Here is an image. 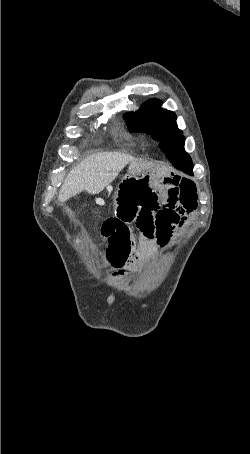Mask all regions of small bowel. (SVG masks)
Segmentation results:
<instances>
[{
	"mask_svg": "<svg viewBox=\"0 0 250 454\" xmlns=\"http://www.w3.org/2000/svg\"><path fill=\"white\" fill-rule=\"evenodd\" d=\"M115 215L104 221L101 237L106 260L120 275L150 258L147 247L135 251L129 225L164 245L195 210L197 188L192 179L173 175L128 172L113 189Z\"/></svg>",
	"mask_w": 250,
	"mask_h": 454,
	"instance_id": "obj_1",
	"label": "small bowel"
}]
</instances>
